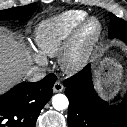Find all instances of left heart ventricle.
Returning a JSON list of instances; mask_svg holds the SVG:
<instances>
[{
  "label": "left heart ventricle",
  "mask_w": 127,
  "mask_h": 127,
  "mask_svg": "<svg viewBox=\"0 0 127 127\" xmlns=\"http://www.w3.org/2000/svg\"><path fill=\"white\" fill-rule=\"evenodd\" d=\"M96 30V24L95 23H91L85 32V36H90L94 33V31Z\"/></svg>",
  "instance_id": "obj_1"
}]
</instances>
